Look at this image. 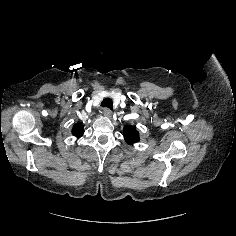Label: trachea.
Returning a JSON list of instances; mask_svg holds the SVG:
<instances>
[{
    "instance_id": "trachea-1",
    "label": "trachea",
    "mask_w": 236,
    "mask_h": 236,
    "mask_svg": "<svg viewBox=\"0 0 236 236\" xmlns=\"http://www.w3.org/2000/svg\"><path fill=\"white\" fill-rule=\"evenodd\" d=\"M101 106L109 108V109H112L113 108V101H112V99H110V98L103 99V101L101 103Z\"/></svg>"
}]
</instances>
